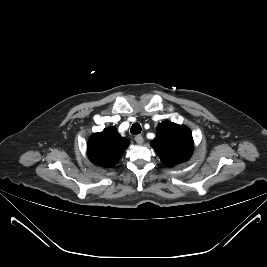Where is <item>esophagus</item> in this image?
<instances>
[{
	"label": "esophagus",
	"instance_id": "1",
	"mask_svg": "<svg viewBox=\"0 0 267 267\" xmlns=\"http://www.w3.org/2000/svg\"><path fill=\"white\" fill-rule=\"evenodd\" d=\"M134 139H135L136 143L139 145L144 143L142 135H136Z\"/></svg>",
	"mask_w": 267,
	"mask_h": 267
}]
</instances>
